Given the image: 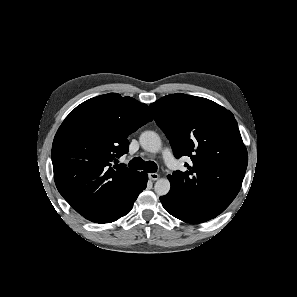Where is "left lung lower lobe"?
<instances>
[{"mask_svg":"<svg viewBox=\"0 0 297 297\" xmlns=\"http://www.w3.org/2000/svg\"><path fill=\"white\" fill-rule=\"evenodd\" d=\"M160 200L168 213L186 223L199 224L213 218L183 201L178 193L170 191L167 195L160 197Z\"/></svg>","mask_w":297,"mask_h":297,"instance_id":"1","label":"left lung lower lobe"}]
</instances>
